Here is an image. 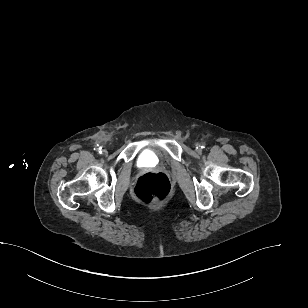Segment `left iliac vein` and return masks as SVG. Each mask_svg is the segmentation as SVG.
<instances>
[{"instance_id":"left-iliac-vein-1","label":"left iliac vein","mask_w":308,"mask_h":308,"mask_svg":"<svg viewBox=\"0 0 308 308\" xmlns=\"http://www.w3.org/2000/svg\"><path fill=\"white\" fill-rule=\"evenodd\" d=\"M196 150H197L198 152L201 151V148H200V145H199V144H196Z\"/></svg>"}]
</instances>
